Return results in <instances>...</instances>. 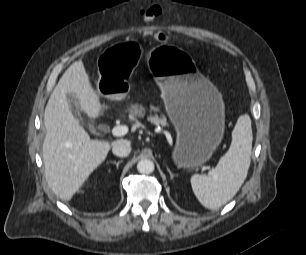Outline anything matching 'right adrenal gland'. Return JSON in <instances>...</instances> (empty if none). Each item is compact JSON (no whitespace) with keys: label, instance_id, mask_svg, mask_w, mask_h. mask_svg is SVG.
Segmentation results:
<instances>
[{"label":"right adrenal gland","instance_id":"right-adrenal-gland-1","mask_svg":"<svg viewBox=\"0 0 306 255\" xmlns=\"http://www.w3.org/2000/svg\"><path fill=\"white\" fill-rule=\"evenodd\" d=\"M111 163H112V164H115V165H116V168L118 169L119 164L122 163V160H119V161H117V162H116V161H111Z\"/></svg>","mask_w":306,"mask_h":255}]
</instances>
